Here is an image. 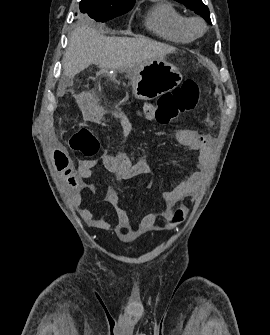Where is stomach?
<instances>
[{
  "instance_id": "0dacf381",
  "label": "stomach",
  "mask_w": 270,
  "mask_h": 335,
  "mask_svg": "<svg viewBox=\"0 0 270 335\" xmlns=\"http://www.w3.org/2000/svg\"><path fill=\"white\" fill-rule=\"evenodd\" d=\"M129 74L137 100H154L165 92H171L182 82V74L164 60H152L145 66L129 67Z\"/></svg>"
}]
</instances>
